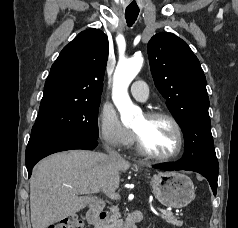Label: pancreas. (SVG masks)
Returning <instances> with one entry per match:
<instances>
[{"instance_id":"obj_1","label":"pancreas","mask_w":238,"mask_h":228,"mask_svg":"<svg viewBox=\"0 0 238 228\" xmlns=\"http://www.w3.org/2000/svg\"><path fill=\"white\" fill-rule=\"evenodd\" d=\"M109 221L106 228H121L123 223L118 205L110 208ZM162 218L169 224L181 226L183 224L177 217L173 215H162Z\"/></svg>"}]
</instances>
